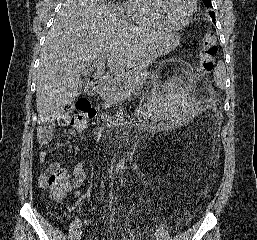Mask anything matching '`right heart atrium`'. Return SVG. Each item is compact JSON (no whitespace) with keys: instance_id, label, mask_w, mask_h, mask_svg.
<instances>
[{"instance_id":"right-heart-atrium-1","label":"right heart atrium","mask_w":257,"mask_h":240,"mask_svg":"<svg viewBox=\"0 0 257 240\" xmlns=\"http://www.w3.org/2000/svg\"><path fill=\"white\" fill-rule=\"evenodd\" d=\"M119 12H120V14H121L122 16H124L125 18H129L128 13L125 11V9H124L123 6H121V7L119 8Z\"/></svg>"}]
</instances>
